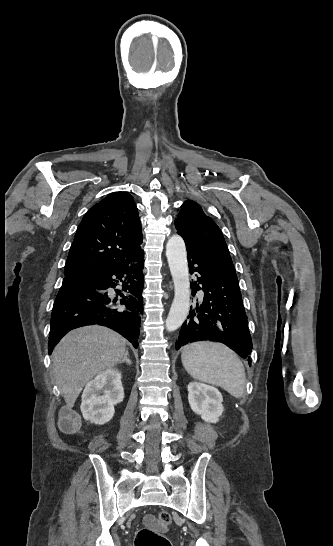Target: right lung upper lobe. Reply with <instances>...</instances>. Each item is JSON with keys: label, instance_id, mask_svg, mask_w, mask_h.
Wrapping results in <instances>:
<instances>
[{"label": "right lung upper lobe", "instance_id": "cb5924a9", "mask_svg": "<svg viewBox=\"0 0 333 546\" xmlns=\"http://www.w3.org/2000/svg\"><path fill=\"white\" fill-rule=\"evenodd\" d=\"M134 198L115 192L91 207L80 222L64 275H78L133 260L142 251Z\"/></svg>", "mask_w": 333, "mask_h": 546}]
</instances>
